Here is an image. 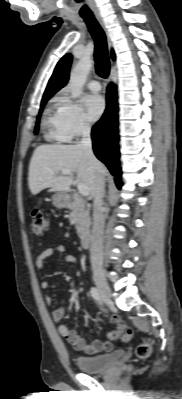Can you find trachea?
Returning a JSON list of instances; mask_svg holds the SVG:
<instances>
[{
  "label": "trachea",
  "instance_id": "1",
  "mask_svg": "<svg viewBox=\"0 0 182 399\" xmlns=\"http://www.w3.org/2000/svg\"><path fill=\"white\" fill-rule=\"evenodd\" d=\"M81 17L87 24V27L95 41V66L96 72L102 78H107L110 71V61L108 57L106 36L95 19L93 14H83Z\"/></svg>",
  "mask_w": 182,
  "mask_h": 399
}]
</instances>
